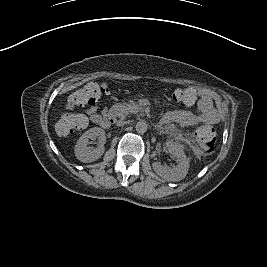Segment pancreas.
I'll use <instances>...</instances> for the list:
<instances>
[{
	"instance_id": "pancreas-1",
	"label": "pancreas",
	"mask_w": 267,
	"mask_h": 267,
	"mask_svg": "<svg viewBox=\"0 0 267 267\" xmlns=\"http://www.w3.org/2000/svg\"><path fill=\"white\" fill-rule=\"evenodd\" d=\"M136 105H137L136 103L132 102V103H130V104L125 105L124 107H125V110H126L127 112H133V111H134V107H135Z\"/></svg>"
}]
</instances>
